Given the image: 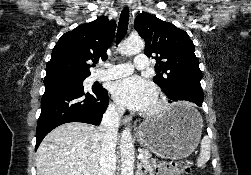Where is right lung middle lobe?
Segmentation results:
<instances>
[{"instance_id":"dd1d6c3e","label":"right lung middle lobe","mask_w":251,"mask_h":175,"mask_svg":"<svg viewBox=\"0 0 251 175\" xmlns=\"http://www.w3.org/2000/svg\"><path fill=\"white\" fill-rule=\"evenodd\" d=\"M86 77L82 78H60V79H52V80H44V83L47 84L49 82H70L74 84H79L83 85V81L85 80Z\"/></svg>"}]
</instances>
